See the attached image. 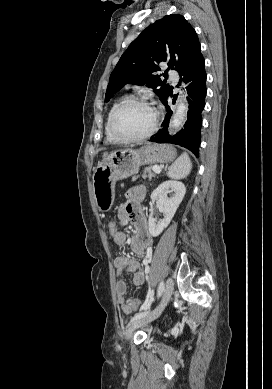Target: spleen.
Listing matches in <instances>:
<instances>
[{
  "instance_id": "1",
  "label": "spleen",
  "mask_w": 272,
  "mask_h": 389,
  "mask_svg": "<svg viewBox=\"0 0 272 389\" xmlns=\"http://www.w3.org/2000/svg\"><path fill=\"white\" fill-rule=\"evenodd\" d=\"M192 169V163L187 153L181 156L169 167L167 176L172 179H183L187 177Z\"/></svg>"
}]
</instances>
